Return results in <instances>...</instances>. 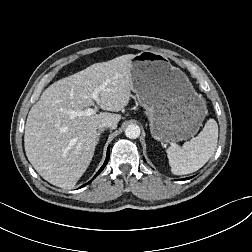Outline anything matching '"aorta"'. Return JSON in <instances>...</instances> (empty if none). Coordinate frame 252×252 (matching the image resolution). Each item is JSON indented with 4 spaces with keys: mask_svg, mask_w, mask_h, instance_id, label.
<instances>
[{
    "mask_svg": "<svg viewBox=\"0 0 252 252\" xmlns=\"http://www.w3.org/2000/svg\"><path fill=\"white\" fill-rule=\"evenodd\" d=\"M140 127L136 124H130L125 129V135L129 139H136L140 136Z\"/></svg>",
    "mask_w": 252,
    "mask_h": 252,
    "instance_id": "1",
    "label": "aorta"
}]
</instances>
